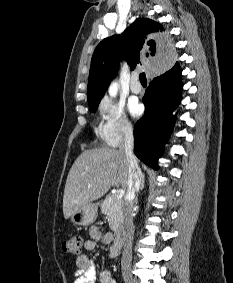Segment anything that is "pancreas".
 Here are the masks:
<instances>
[{
    "instance_id": "pancreas-1",
    "label": "pancreas",
    "mask_w": 233,
    "mask_h": 283,
    "mask_svg": "<svg viewBox=\"0 0 233 283\" xmlns=\"http://www.w3.org/2000/svg\"><path fill=\"white\" fill-rule=\"evenodd\" d=\"M122 207V201L112 194L106 196L102 204L101 211L103 214L107 215L110 229L114 232H117L119 226L123 222Z\"/></svg>"
}]
</instances>
